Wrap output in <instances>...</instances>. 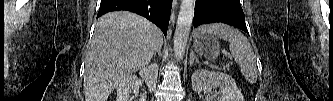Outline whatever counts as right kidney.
I'll return each mask as SVG.
<instances>
[{
    "label": "right kidney",
    "instance_id": "1",
    "mask_svg": "<svg viewBox=\"0 0 333 101\" xmlns=\"http://www.w3.org/2000/svg\"><path fill=\"white\" fill-rule=\"evenodd\" d=\"M158 65L153 63L147 67L140 70V76L145 80L149 90L151 91L157 82L158 76ZM139 91V81L136 76L125 77L117 88V99L116 101H130L129 97L131 93H138Z\"/></svg>",
    "mask_w": 333,
    "mask_h": 101
}]
</instances>
